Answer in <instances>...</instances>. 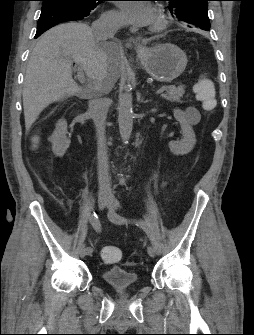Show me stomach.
Masks as SVG:
<instances>
[{"instance_id": "stomach-1", "label": "stomach", "mask_w": 254, "mask_h": 335, "mask_svg": "<svg viewBox=\"0 0 254 335\" xmlns=\"http://www.w3.org/2000/svg\"><path fill=\"white\" fill-rule=\"evenodd\" d=\"M137 53L145 71L162 83H169L179 77L188 62L184 51L171 43H159L138 50Z\"/></svg>"}]
</instances>
